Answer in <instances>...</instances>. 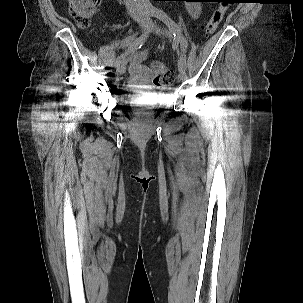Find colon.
Here are the masks:
<instances>
[{
  "label": "colon",
  "instance_id": "obj_1",
  "mask_svg": "<svg viewBox=\"0 0 303 303\" xmlns=\"http://www.w3.org/2000/svg\"><path fill=\"white\" fill-rule=\"evenodd\" d=\"M218 6L208 19L205 31L212 34L219 26L227 9L226 0H218ZM100 0H68L71 13L76 18L80 27H87L92 16L97 12ZM154 82L159 87H168L173 84L175 75L173 71L161 63H154L152 66Z\"/></svg>",
  "mask_w": 303,
  "mask_h": 303
}]
</instances>
